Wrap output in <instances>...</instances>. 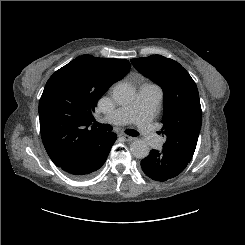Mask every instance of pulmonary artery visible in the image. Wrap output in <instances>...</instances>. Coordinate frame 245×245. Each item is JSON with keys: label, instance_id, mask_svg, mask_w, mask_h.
<instances>
[{"label": "pulmonary artery", "instance_id": "pulmonary-artery-1", "mask_svg": "<svg viewBox=\"0 0 245 245\" xmlns=\"http://www.w3.org/2000/svg\"><path fill=\"white\" fill-rule=\"evenodd\" d=\"M162 98L163 93L160 87L150 83L142 84L132 102L117 108L100 121L125 124L133 120L145 141L148 143L159 142V136L152 120L159 111Z\"/></svg>", "mask_w": 245, "mask_h": 245}]
</instances>
